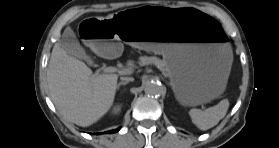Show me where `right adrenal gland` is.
Here are the masks:
<instances>
[{"instance_id": "1", "label": "right adrenal gland", "mask_w": 279, "mask_h": 148, "mask_svg": "<svg viewBox=\"0 0 279 148\" xmlns=\"http://www.w3.org/2000/svg\"><path fill=\"white\" fill-rule=\"evenodd\" d=\"M127 83H128V81L120 82V83L117 85V89L119 90L120 86L126 85Z\"/></svg>"}]
</instances>
